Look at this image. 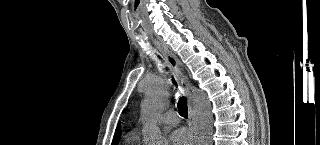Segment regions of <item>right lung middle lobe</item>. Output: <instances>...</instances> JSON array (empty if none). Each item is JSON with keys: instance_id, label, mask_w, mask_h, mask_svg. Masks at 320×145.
<instances>
[{"instance_id": "1", "label": "right lung middle lobe", "mask_w": 320, "mask_h": 145, "mask_svg": "<svg viewBox=\"0 0 320 145\" xmlns=\"http://www.w3.org/2000/svg\"><path fill=\"white\" fill-rule=\"evenodd\" d=\"M112 145H116V143H112Z\"/></svg>"}]
</instances>
